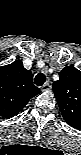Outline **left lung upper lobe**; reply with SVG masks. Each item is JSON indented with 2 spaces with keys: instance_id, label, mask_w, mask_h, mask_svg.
<instances>
[{
  "instance_id": "obj_1",
  "label": "left lung upper lobe",
  "mask_w": 81,
  "mask_h": 155,
  "mask_svg": "<svg viewBox=\"0 0 81 155\" xmlns=\"http://www.w3.org/2000/svg\"><path fill=\"white\" fill-rule=\"evenodd\" d=\"M59 75L53 90L61 114L68 124L81 126V71L66 66Z\"/></svg>"
}]
</instances>
